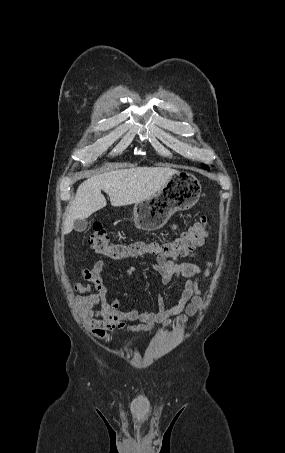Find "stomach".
I'll return each mask as SVG.
<instances>
[{"label": "stomach", "instance_id": "obj_1", "mask_svg": "<svg viewBox=\"0 0 285 453\" xmlns=\"http://www.w3.org/2000/svg\"><path fill=\"white\" fill-rule=\"evenodd\" d=\"M200 181L188 172H177L155 195L136 203L132 218L137 228L154 231L162 228L177 211L188 210L201 195Z\"/></svg>", "mask_w": 285, "mask_h": 453}]
</instances>
